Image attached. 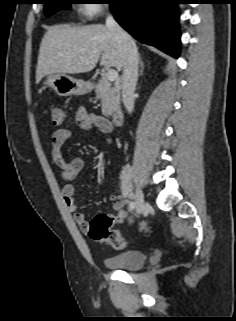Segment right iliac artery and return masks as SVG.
Returning a JSON list of instances; mask_svg holds the SVG:
<instances>
[{"label": "right iliac artery", "mask_w": 236, "mask_h": 321, "mask_svg": "<svg viewBox=\"0 0 236 321\" xmlns=\"http://www.w3.org/2000/svg\"><path fill=\"white\" fill-rule=\"evenodd\" d=\"M135 208V202L131 201L129 204V209L133 210Z\"/></svg>", "instance_id": "1"}]
</instances>
